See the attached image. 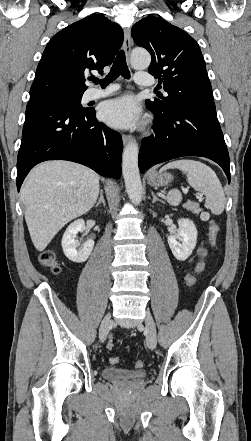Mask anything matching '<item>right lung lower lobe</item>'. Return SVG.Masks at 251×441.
<instances>
[{
    "instance_id": "right-lung-lower-lobe-1",
    "label": "right lung lower lobe",
    "mask_w": 251,
    "mask_h": 441,
    "mask_svg": "<svg viewBox=\"0 0 251 441\" xmlns=\"http://www.w3.org/2000/svg\"><path fill=\"white\" fill-rule=\"evenodd\" d=\"M122 137L98 122L94 110L77 112L47 101H29L17 158V189L46 160H69L102 176L121 177Z\"/></svg>"
}]
</instances>
